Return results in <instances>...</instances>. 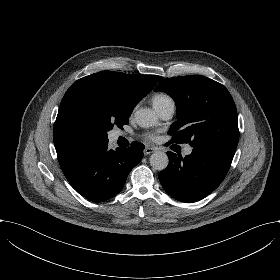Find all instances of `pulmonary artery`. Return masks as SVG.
Returning a JSON list of instances; mask_svg holds the SVG:
<instances>
[{
  "label": "pulmonary artery",
  "mask_w": 280,
  "mask_h": 280,
  "mask_svg": "<svg viewBox=\"0 0 280 280\" xmlns=\"http://www.w3.org/2000/svg\"><path fill=\"white\" fill-rule=\"evenodd\" d=\"M161 118L163 120H169L172 118V116L174 115L175 112V103L171 100L168 101L162 105H160L157 108Z\"/></svg>",
  "instance_id": "obj_1"
}]
</instances>
